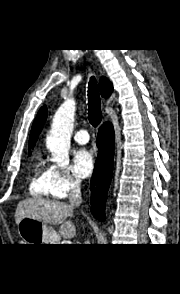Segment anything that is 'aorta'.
Listing matches in <instances>:
<instances>
[{
    "label": "aorta",
    "instance_id": "aorta-1",
    "mask_svg": "<svg viewBox=\"0 0 180 294\" xmlns=\"http://www.w3.org/2000/svg\"><path fill=\"white\" fill-rule=\"evenodd\" d=\"M75 110L74 100L65 101L55 113L50 133L46 138V146L51 152L52 160L57 163H62L69 156Z\"/></svg>",
    "mask_w": 180,
    "mask_h": 294
}]
</instances>
